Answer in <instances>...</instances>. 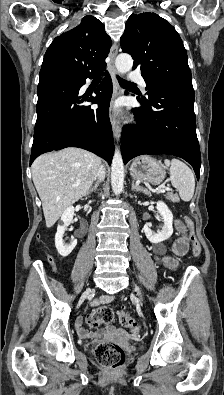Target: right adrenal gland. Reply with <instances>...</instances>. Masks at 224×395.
I'll use <instances>...</instances> for the list:
<instances>
[{
    "mask_svg": "<svg viewBox=\"0 0 224 395\" xmlns=\"http://www.w3.org/2000/svg\"><path fill=\"white\" fill-rule=\"evenodd\" d=\"M97 187H98V181L95 183V185H94L93 187L90 188L89 194H90L91 192L96 191Z\"/></svg>",
    "mask_w": 224,
    "mask_h": 395,
    "instance_id": "2a0ac1e0",
    "label": "right adrenal gland"
}]
</instances>
